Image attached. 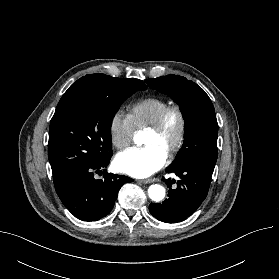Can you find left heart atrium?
<instances>
[{"label":"left heart atrium","instance_id":"left-heart-atrium-1","mask_svg":"<svg viewBox=\"0 0 279 279\" xmlns=\"http://www.w3.org/2000/svg\"><path fill=\"white\" fill-rule=\"evenodd\" d=\"M167 154L154 145L131 147L115 158L116 168L136 178L151 176L164 166Z\"/></svg>","mask_w":279,"mask_h":279}]
</instances>
